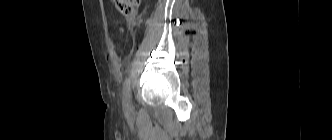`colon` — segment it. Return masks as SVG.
I'll use <instances>...</instances> for the list:
<instances>
[{"label":"colon","mask_w":332,"mask_h":140,"mask_svg":"<svg viewBox=\"0 0 332 140\" xmlns=\"http://www.w3.org/2000/svg\"><path fill=\"white\" fill-rule=\"evenodd\" d=\"M116 8L126 17H131L139 7L141 0H112Z\"/></svg>","instance_id":"1"}]
</instances>
